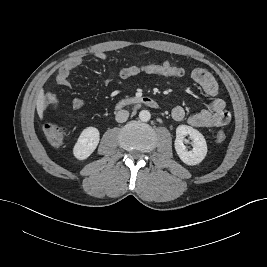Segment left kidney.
<instances>
[{
    "label": "left kidney",
    "instance_id": "left-kidney-1",
    "mask_svg": "<svg viewBox=\"0 0 267 267\" xmlns=\"http://www.w3.org/2000/svg\"><path fill=\"white\" fill-rule=\"evenodd\" d=\"M187 135L193 141V148L190 151L184 145ZM174 145L179 158L187 165L193 166L201 163L207 154V144L204 136L191 126L179 125L177 127Z\"/></svg>",
    "mask_w": 267,
    "mask_h": 267
}]
</instances>
